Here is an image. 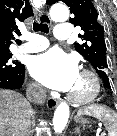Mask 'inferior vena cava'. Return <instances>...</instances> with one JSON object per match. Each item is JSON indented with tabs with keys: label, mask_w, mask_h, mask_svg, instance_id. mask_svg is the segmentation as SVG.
Listing matches in <instances>:
<instances>
[{
	"label": "inferior vena cava",
	"mask_w": 117,
	"mask_h": 136,
	"mask_svg": "<svg viewBox=\"0 0 117 136\" xmlns=\"http://www.w3.org/2000/svg\"><path fill=\"white\" fill-rule=\"evenodd\" d=\"M27 98L36 104H43L46 100V89L40 84L33 83L27 89Z\"/></svg>",
	"instance_id": "602c4592"
}]
</instances>
